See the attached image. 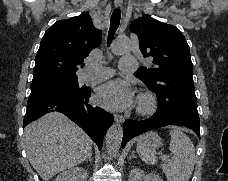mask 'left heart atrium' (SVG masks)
Returning <instances> with one entry per match:
<instances>
[{
    "label": "left heart atrium",
    "mask_w": 228,
    "mask_h": 181,
    "mask_svg": "<svg viewBox=\"0 0 228 181\" xmlns=\"http://www.w3.org/2000/svg\"><path fill=\"white\" fill-rule=\"evenodd\" d=\"M132 85L128 81L114 79L108 82L100 91V96L112 108L123 109L130 103Z\"/></svg>",
    "instance_id": "left-heart-atrium-1"
}]
</instances>
